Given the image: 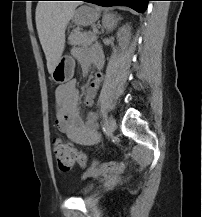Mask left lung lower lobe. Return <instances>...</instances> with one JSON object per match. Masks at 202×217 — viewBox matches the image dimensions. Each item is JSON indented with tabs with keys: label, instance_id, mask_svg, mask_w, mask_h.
Wrapping results in <instances>:
<instances>
[{
	"label": "left lung lower lobe",
	"instance_id": "obj_1",
	"mask_svg": "<svg viewBox=\"0 0 202 217\" xmlns=\"http://www.w3.org/2000/svg\"><path fill=\"white\" fill-rule=\"evenodd\" d=\"M97 4L103 7L110 6H127L137 12L143 13L147 8V3L150 0H81Z\"/></svg>",
	"mask_w": 202,
	"mask_h": 217
}]
</instances>
